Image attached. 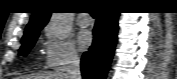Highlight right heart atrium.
<instances>
[{"label": "right heart atrium", "mask_w": 177, "mask_h": 79, "mask_svg": "<svg viewBox=\"0 0 177 79\" xmlns=\"http://www.w3.org/2000/svg\"><path fill=\"white\" fill-rule=\"evenodd\" d=\"M47 41L44 49L46 67L63 71L78 64L80 56L70 41H63L53 37L48 31L45 33Z\"/></svg>", "instance_id": "obj_1"}]
</instances>
